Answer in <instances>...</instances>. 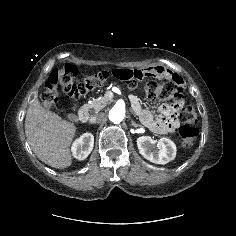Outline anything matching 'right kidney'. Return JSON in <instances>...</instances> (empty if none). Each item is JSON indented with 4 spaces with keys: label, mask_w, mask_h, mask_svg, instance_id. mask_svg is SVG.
Returning a JSON list of instances; mask_svg holds the SVG:
<instances>
[{
    "label": "right kidney",
    "mask_w": 236,
    "mask_h": 236,
    "mask_svg": "<svg viewBox=\"0 0 236 236\" xmlns=\"http://www.w3.org/2000/svg\"><path fill=\"white\" fill-rule=\"evenodd\" d=\"M93 146L94 136L91 133H84L73 142L71 151L76 159L84 160L91 153Z\"/></svg>",
    "instance_id": "right-kidney-1"
}]
</instances>
